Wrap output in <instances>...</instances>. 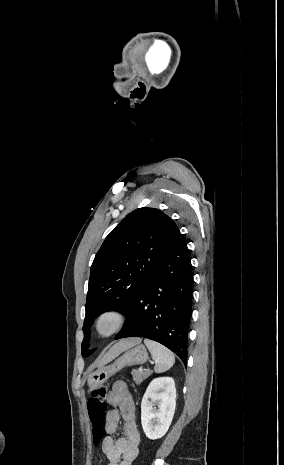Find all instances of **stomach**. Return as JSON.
I'll return each mask as SVG.
<instances>
[{
    "mask_svg": "<svg viewBox=\"0 0 284 465\" xmlns=\"http://www.w3.org/2000/svg\"><path fill=\"white\" fill-rule=\"evenodd\" d=\"M148 359L149 355L146 347H144V345H137V347H133V349H129L124 355H121L112 365H108V367H99L97 371L91 373L87 379V385L91 391H93V389H98V387H102L112 375H115V373H118V371H121L124 367L144 365V363H147Z\"/></svg>",
    "mask_w": 284,
    "mask_h": 465,
    "instance_id": "obj_1",
    "label": "stomach"
}]
</instances>
